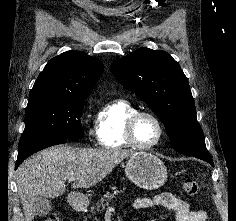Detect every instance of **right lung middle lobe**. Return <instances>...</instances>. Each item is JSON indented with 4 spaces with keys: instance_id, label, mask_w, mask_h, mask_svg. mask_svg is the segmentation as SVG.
Here are the masks:
<instances>
[{
    "instance_id": "obj_1",
    "label": "right lung middle lobe",
    "mask_w": 236,
    "mask_h": 221,
    "mask_svg": "<svg viewBox=\"0 0 236 221\" xmlns=\"http://www.w3.org/2000/svg\"><path fill=\"white\" fill-rule=\"evenodd\" d=\"M86 98L29 97L19 148L43 141L81 139V115Z\"/></svg>"
}]
</instances>
